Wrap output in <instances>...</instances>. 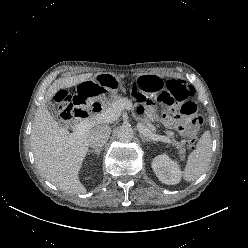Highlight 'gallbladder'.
I'll return each mask as SVG.
<instances>
[{
    "instance_id": "obj_1",
    "label": "gallbladder",
    "mask_w": 248,
    "mask_h": 248,
    "mask_svg": "<svg viewBox=\"0 0 248 248\" xmlns=\"http://www.w3.org/2000/svg\"><path fill=\"white\" fill-rule=\"evenodd\" d=\"M45 106H46V109L48 110V112L51 114L52 117H54V118L58 117L57 110H56L54 104L51 101H48Z\"/></svg>"
}]
</instances>
